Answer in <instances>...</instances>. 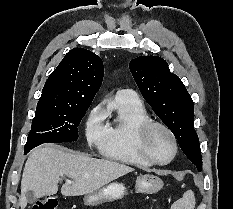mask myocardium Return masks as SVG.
<instances>
[{
	"instance_id": "f54148a6",
	"label": "myocardium",
	"mask_w": 233,
	"mask_h": 209,
	"mask_svg": "<svg viewBox=\"0 0 233 209\" xmlns=\"http://www.w3.org/2000/svg\"><path fill=\"white\" fill-rule=\"evenodd\" d=\"M155 128L162 129L164 132H166L172 141L173 153L171 157L166 161L156 160L148 151L147 142H148L151 131ZM136 146H137V150L139 154L141 155V157L153 165H159V166L168 165L175 159L178 153V141L172 129L166 124L156 121V120H152V119H148L142 122L137 127Z\"/></svg>"
}]
</instances>
